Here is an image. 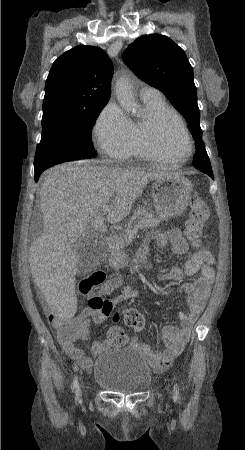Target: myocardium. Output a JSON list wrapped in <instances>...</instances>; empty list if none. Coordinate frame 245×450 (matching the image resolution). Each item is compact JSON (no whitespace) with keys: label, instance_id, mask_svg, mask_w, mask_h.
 Segmentation results:
<instances>
[{"label":"myocardium","instance_id":"obj_1","mask_svg":"<svg viewBox=\"0 0 245 450\" xmlns=\"http://www.w3.org/2000/svg\"><path fill=\"white\" fill-rule=\"evenodd\" d=\"M173 121L176 123L183 134L185 135V138L187 140V143L189 145V151L187 154L182 156H175L168 152L164 146L161 144L160 141V130L163 128V126L168 122ZM146 135H147V141H148V147L155 152L156 154L169 158L174 160H187L191 157V155L194 152V144L191 138V135L187 129V127L179 122L176 118L170 116V115H162L156 119H154L147 127L146 129Z\"/></svg>","mask_w":245,"mask_h":450}]
</instances>
